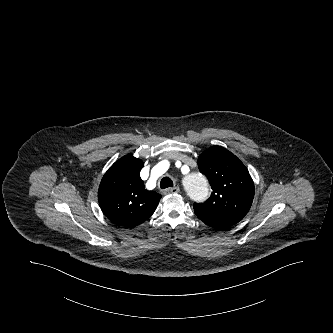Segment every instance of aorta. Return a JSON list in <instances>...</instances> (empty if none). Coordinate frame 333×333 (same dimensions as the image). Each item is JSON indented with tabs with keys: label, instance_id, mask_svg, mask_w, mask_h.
<instances>
[{
	"label": "aorta",
	"instance_id": "obj_1",
	"mask_svg": "<svg viewBox=\"0 0 333 333\" xmlns=\"http://www.w3.org/2000/svg\"><path fill=\"white\" fill-rule=\"evenodd\" d=\"M185 189L188 196L197 203L206 201L210 196L207 177L199 171H193L187 176Z\"/></svg>",
	"mask_w": 333,
	"mask_h": 333
}]
</instances>
